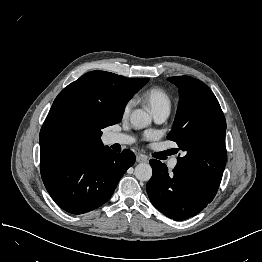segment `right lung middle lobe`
Returning a JSON list of instances; mask_svg holds the SVG:
<instances>
[{"label":"right lung middle lobe","mask_w":262,"mask_h":262,"mask_svg":"<svg viewBox=\"0 0 262 262\" xmlns=\"http://www.w3.org/2000/svg\"><path fill=\"white\" fill-rule=\"evenodd\" d=\"M148 82V78L145 80L144 84H146ZM108 125L102 126L100 130H102L103 128L107 127Z\"/></svg>","instance_id":"1"}]
</instances>
